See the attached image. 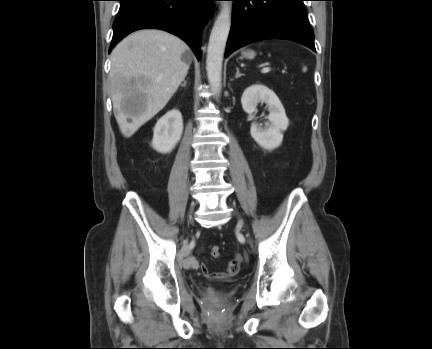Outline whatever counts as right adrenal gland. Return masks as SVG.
I'll list each match as a JSON object with an SVG mask.
<instances>
[{"label":"right adrenal gland","instance_id":"right-adrenal-gland-1","mask_svg":"<svg viewBox=\"0 0 432 349\" xmlns=\"http://www.w3.org/2000/svg\"><path fill=\"white\" fill-rule=\"evenodd\" d=\"M186 84H187V81L184 79V80H183V83L181 84V87H185Z\"/></svg>","mask_w":432,"mask_h":349}]
</instances>
